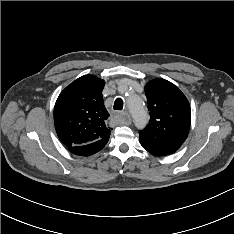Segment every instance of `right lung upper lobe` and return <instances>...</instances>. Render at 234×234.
<instances>
[{"instance_id":"right-lung-upper-lobe-1","label":"right lung upper lobe","mask_w":234,"mask_h":234,"mask_svg":"<svg viewBox=\"0 0 234 234\" xmlns=\"http://www.w3.org/2000/svg\"><path fill=\"white\" fill-rule=\"evenodd\" d=\"M103 87L104 80L85 75L60 93L55 103L54 123L66 147L108 142L111 128L103 102Z\"/></svg>"}]
</instances>
